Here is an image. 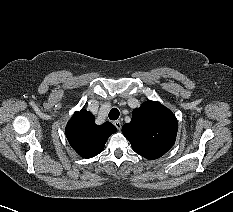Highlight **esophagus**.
Instances as JSON below:
<instances>
[{"instance_id":"1","label":"esophagus","mask_w":233,"mask_h":212,"mask_svg":"<svg viewBox=\"0 0 233 212\" xmlns=\"http://www.w3.org/2000/svg\"><path fill=\"white\" fill-rule=\"evenodd\" d=\"M113 124L118 130L122 127V123L119 120L114 121Z\"/></svg>"}]
</instances>
